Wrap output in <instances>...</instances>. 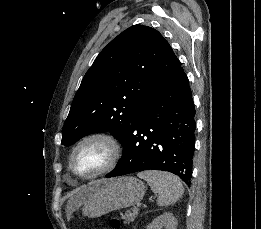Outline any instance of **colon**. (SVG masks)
<instances>
[{
  "label": "colon",
  "mask_w": 261,
  "mask_h": 229,
  "mask_svg": "<svg viewBox=\"0 0 261 229\" xmlns=\"http://www.w3.org/2000/svg\"><path fill=\"white\" fill-rule=\"evenodd\" d=\"M111 228L112 229H120V222L117 219H113L111 221Z\"/></svg>",
  "instance_id": "obj_1"
}]
</instances>
